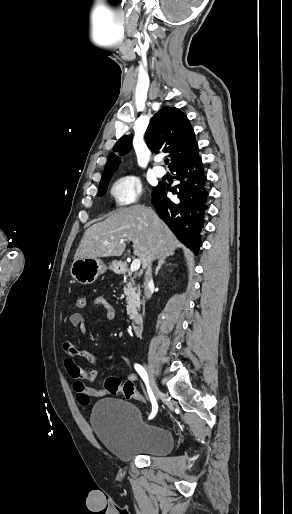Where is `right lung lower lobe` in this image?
Here are the masks:
<instances>
[{
  "label": "right lung lower lobe",
  "instance_id": "1",
  "mask_svg": "<svg viewBox=\"0 0 292 514\" xmlns=\"http://www.w3.org/2000/svg\"><path fill=\"white\" fill-rule=\"evenodd\" d=\"M171 172H176L175 178L180 183L169 188L160 182L152 190V203L177 238L196 252L201 245L200 232L208 208L207 180L201 158L197 154L177 164ZM167 191L174 198H168Z\"/></svg>",
  "mask_w": 292,
  "mask_h": 514
}]
</instances>
